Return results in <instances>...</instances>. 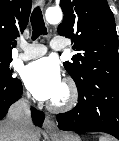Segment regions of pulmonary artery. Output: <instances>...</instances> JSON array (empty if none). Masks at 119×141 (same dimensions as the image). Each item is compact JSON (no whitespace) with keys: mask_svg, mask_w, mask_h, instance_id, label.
I'll return each mask as SVG.
<instances>
[{"mask_svg":"<svg viewBox=\"0 0 119 141\" xmlns=\"http://www.w3.org/2000/svg\"><path fill=\"white\" fill-rule=\"evenodd\" d=\"M50 46L55 50H60L65 47V44L57 38L50 41ZM21 51L17 54V58L21 60H31L44 55L47 52V47L43 44H20Z\"/></svg>","mask_w":119,"mask_h":141,"instance_id":"pulmonary-artery-1","label":"pulmonary artery"}]
</instances>
